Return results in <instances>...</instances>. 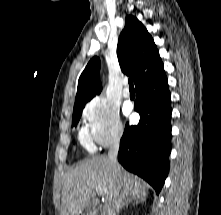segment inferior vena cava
Instances as JSON below:
<instances>
[{
	"label": "inferior vena cava",
	"instance_id": "602c4592",
	"mask_svg": "<svg viewBox=\"0 0 221 215\" xmlns=\"http://www.w3.org/2000/svg\"><path fill=\"white\" fill-rule=\"evenodd\" d=\"M118 150H119V140H116L108 151V159L111 165L113 166V169L116 174H118L120 171V168L117 163ZM124 198H125V195L118 191L114 195L112 201L105 207V214L117 215V213H119V210L123 204Z\"/></svg>",
	"mask_w": 221,
	"mask_h": 215
}]
</instances>
